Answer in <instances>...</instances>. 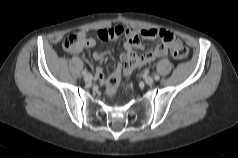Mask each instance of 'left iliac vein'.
Instances as JSON below:
<instances>
[{"instance_id": "obj_1", "label": "left iliac vein", "mask_w": 238, "mask_h": 158, "mask_svg": "<svg viewBox=\"0 0 238 158\" xmlns=\"http://www.w3.org/2000/svg\"><path fill=\"white\" fill-rule=\"evenodd\" d=\"M145 83L147 85H152L154 83V79L152 77L145 78Z\"/></svg>"}]
</instances>
